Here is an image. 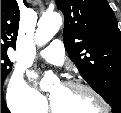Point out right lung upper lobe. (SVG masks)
I'll use <instances>...</instances> for the list:
<instances>
[{
    "instance_id": "cb5924a9",
    "label": "right lung upper lobe",
    "mask_w": 121,
    "mask_h": 113,
    "mask_svg": "<svg viewBox=\"0 0 121 113\" xmlns=\"http://www.w3.org/2000/svg\"><path fill=\"white\" fill-rule=\"evenodd\" d=\"M25 6L27 3L24 1ZM20 11L16 0H1V52L16 47Z\"/></svg>"
}]
</instances>
